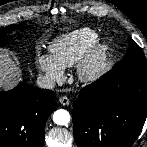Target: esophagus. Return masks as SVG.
I'll return each instance as SVG.
<instances>
[{
	"instance_id": "34e87169",
	"label": "esophagus",
	"mask_w": 147,
	"mask_h": 147,
	"mask_svg": "<svg viewBox=\"0 0 147 147\" xmlns=\"http://www.w3.org/2000/svg\"><path fill=\"white\" fill-rule=\"evenodd\" d=\"M59 101L64 106H68L70 104V100L67 96L60 97Z\"/></svg>"
}]
</instances>
